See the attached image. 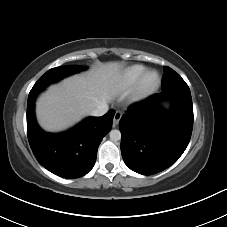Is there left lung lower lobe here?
<instances>
[{"label": "left lung lower lobe", "mask_w": 227, "mask_h": 227, "mask_svg": "<svg viewBox=\"0 0 227 227\" xmlns=\"http://www.w3.org/2000/svg\"><path fill=\"white\" fill-rule=\"evenodd\" d=\"M169 101L171 108L161 103ZM126 165L152 175L174 164L185 151L193 129L190 92H162L131 105L119 122Z\"/></svg>", "instance_id": "0a47b994"}]
</instances>
